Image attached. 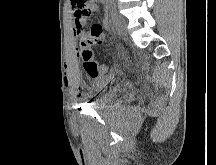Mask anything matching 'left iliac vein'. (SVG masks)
<instances>
[{
	"mask_svg": "<svg viewBox=\"0 0 216 165\" xmlns=\"http://www.w3.org/2000/svg\"><path fill=\"white\" fill-rule=\"evenodd\" d=\"M114 26L117 33L121 36H125L127 34V21L121 15H117L114 21Z\"/></svg>",
	"mask_w": 216,
	"mask_h": 165,
	"instance_id": "1",
	"label": "left iliac vein"
}]
</instances>
